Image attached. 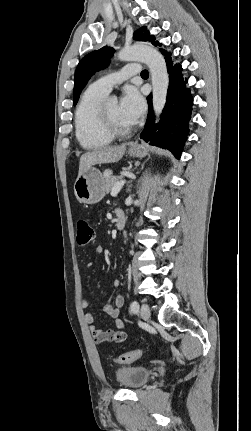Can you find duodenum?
Segmentation results:
<instances>
[{
    "label": "duodenum",
    "instance_id": "obj_1",
    "mask_svg": "<svg viewBox=\"0 0 251 431\" xmlns=\"http://www.w3.org/2000/svg\"><path fill=\"white\" fill-rule=\"evenodd\" d=\"M126 218L125 214L121 210L116 211V227L122 229L125 226Z\"/></svg>",
    "mask_w": 251,
    "mask_h": 431
}]
</instances>
